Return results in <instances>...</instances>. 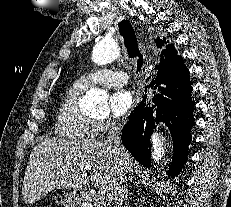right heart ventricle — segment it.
<instances>
[{
	"mask_svg": "<svg viewBox=\"0 0 231 207\" xmlns=\"http://www.w3.org/2000/svg\"><path fill=\"white\" fill-rule=\"evenodd\" d=\"M83 91L84 89L74 84L60 104L55 131L63 138L80 141L97 135L96 122L82 113L79 108L78 102Z\"/></svg>",
	"mask_w": 231,
	"mask_h": 207,
	"instance_id": "e07e8e85",
	"label": "right heart ventricle"
}]
</instances>
